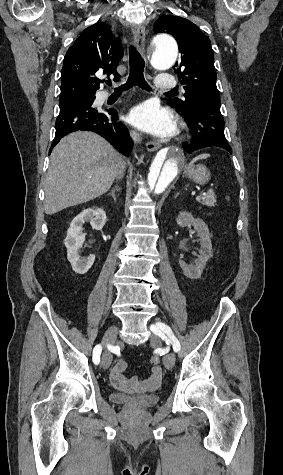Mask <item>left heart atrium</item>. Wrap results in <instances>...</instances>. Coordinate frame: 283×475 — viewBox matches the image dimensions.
<instances>
[{"mask_svg":"<svg viewBox=\"0 0 283 475\" xmlns=\"http://www.w3.org/2000/svg\"><path fill=\"white\" fill-rule=\"evenodd\" d=\"M129 121L138 131L160 138L171 137L176 132V120L172 112L154 100L133 107Z\"/></svg>","mask_w":283,"mask_h":475,"instance_id":"obj_1","label":"left heart atrium"}]
</instances>
